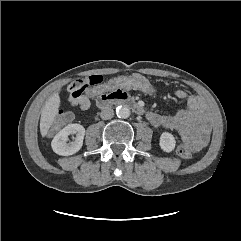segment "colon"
I'll list each match as a JSON object with an SVG mask.
<instances>
[{
	"instance_id": "1",
	"label": "colon",
	"mask_w": 241,
	"mask_h": 241,
	"mask_svg": "<svg viewBox=\"0 0 241 241\" xmlns=\"http://www.w3.org/2000/svg\"><path fill=\"white\" fill-rule=\"evenodd\" d=\"M124 90H137L149 96H156L158 89L143 76H119L105 81L101 75H91L82 80H77L70 84V96L73 98L81 97L86 93L89 97L97 94H108L123 92ZM72 120L69 113H60L55 125L51 128L53 131L56 126L68 123ZM176 153L182 159H190L192 153L184 145L176 147Z\"/></svg>"
}]
</instances>
